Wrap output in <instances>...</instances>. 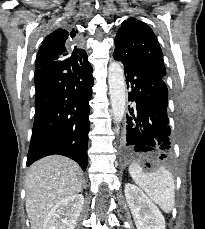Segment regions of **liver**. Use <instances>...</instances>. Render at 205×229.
<instances>
[{
    "label": "liver",
    "mask_w": 205,
    "mask_h": 229,
    "mask_svg": "<svg viewBox=\"0 0 205 229\" xmlns=\"http://www.w3.org/2000/svg\"><path fill=\"white\" fill-rule=\"evenodd\" d=\"M83 173L73 160L51 155L33 163L28 169L26 212L31 229H42L51 208L60 200L81 191Z\"/></svg>",
    "instance_id": "1"
}]
</instances>
